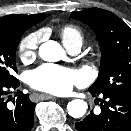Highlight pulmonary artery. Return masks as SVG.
<instances>
[{"label": "pulmonary artery", "instance_id": "pulmonary-artery-1", "mask_svg": "<svg viewBox=\"0 0 131 131\" xmlns=\"http://www.w3.org/2000/svg\"><path fill=\"white\" fill-rule=\"evenodd\" d=\"M70 53L77 54L80 51L81 45L80 44H74L69 47H67Z\"/></svg>", "mask_w": 131, "mask_h": 131}]
</instances>
